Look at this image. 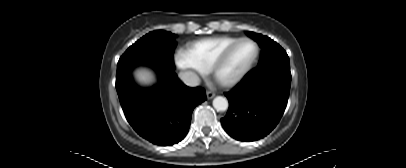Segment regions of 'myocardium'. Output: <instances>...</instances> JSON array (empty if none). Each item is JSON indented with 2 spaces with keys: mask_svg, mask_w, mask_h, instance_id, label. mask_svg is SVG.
Returning a JSON list of instances; mask_svg holds the SVG:
<instances>
[{
  "mask_svg": "<svg viewBox=\"0 0 406 168\" xmlns=\"http://www.w3.org/2000/svg\"><path fill=\"white\" fill-rule=\"evenodd\" d=\"M242 42H250L254 45L255 52L253 57L249 60V62L234 76L228 79H222L220 77V72L225 65L226 61L230 57L231 53L234 51V49ZM259 56V47L257 43L247 37L243 38H238L236 39L233 43L228 45L216 58L215 62L212 65L211 68V74L216 81L218 85L224 88H230L235 85H237L244 77L245 75L250 71V69L253 67L254 63L256 62L257 58Z\"/></svg>",
  "mask_w": 406,
  "mask_h": 168,
  "instance_id": "obj_1",
  "label": "myocardium"
}]
</instances>
